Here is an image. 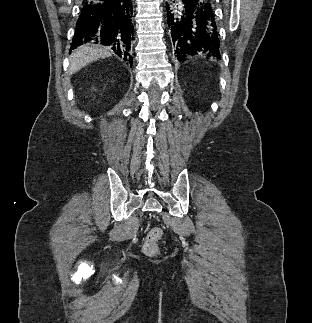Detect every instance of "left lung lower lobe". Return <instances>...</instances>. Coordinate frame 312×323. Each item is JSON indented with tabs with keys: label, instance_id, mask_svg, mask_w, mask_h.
<instances>
[{
	"label": "left lung lower lobe",
	"instance_id": "0a47b994",
	"mask_svg": "<svg viewBox=\"0 0 312 323\" xmlns=\"http://www.w3.org/2000/svg\"><path fill=\"white\" fill-rule=\"evenodd\" d=\"M166 11L171 48L179 61L195 55L221 57L213 0H169Z\"/></svg>",
	"mask_w": 312,
	"mask_h": 323
}]
</instances>
